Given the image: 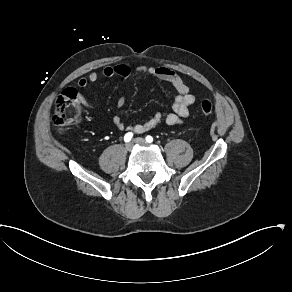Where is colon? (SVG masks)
I'll list each match as a JSON object with an SVG mask.
<instances>
[{
    "label": "colon",
    "instance_id": "1",
    "mask_svg": "<svg viewBox=\"0 0 292 292\" xmlns=\"http://www.w3.org/2000/svg\"><path fill=\"white\" fill-rule=\"evenodd\" d=\"M83 103L79 94L74 88H66L58 96L53 115V124L57 130H62L77 122L82 114ZM201 112L204 116H209L213 112V104L210 100L201 103Z\"/></svg>",
    "mask_w": 292,
    "mask_h": 292
}]
</instances>
